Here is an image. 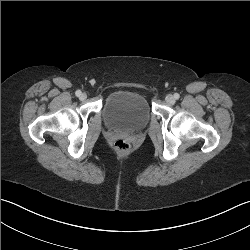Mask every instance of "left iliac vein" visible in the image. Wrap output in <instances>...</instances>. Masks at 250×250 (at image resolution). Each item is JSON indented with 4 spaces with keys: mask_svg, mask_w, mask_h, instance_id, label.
Returning <instances> with one entry per match:
<instances>
[{
    "mask_svg": "<svg viewBox=\"0 0 250 250\" xmlns=\"http://www.w3.org/2000/svg\"><path fill=\"white\" fill-rule=\"evenodd\" d=\"M165 100H166V102H167L168 104H174V103H175V98H174V96L171 95V94H168V95L166 96Z\"/></svg>",
    "mask_w": 250,
    "mask_h": 250,
    "instance_id": "obj_1",
    "label": "left iliac vein"
}]
</instances>
